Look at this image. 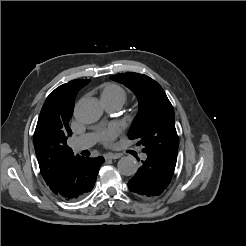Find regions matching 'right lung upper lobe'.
<instances>
[{
    "label": "right lung upper lobe",
    "instance_id": "1",
    "mask_svg": "<svg viewBox=\"0 0 246 246\" xmlns=\"http://www.w3.org/2000/svg\"><path fill=\"white\" fill-rule=\"evenodd\" d=\"M90 80H72L56 88L46 99L34 133V147L41 175L48 186L56 181L74 156L67 145L72 135L69 121L78 91Z\"/></svg>",
    "mask_w": 246,
    "mask_h": 246
}]
</instances>
